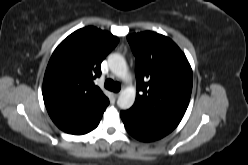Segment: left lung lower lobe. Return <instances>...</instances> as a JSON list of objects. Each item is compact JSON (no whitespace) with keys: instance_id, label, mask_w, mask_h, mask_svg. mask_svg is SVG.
<instances>
[{"instance_id":"left-lung-lower-lobe-1","label":"left lung lower lobe","mask_w":248,"mask_h":165,"mask_svg":"<svg viewBox=\"0 0 248 165\" xmlns=\"http://www.w3.org/2000/svg\"><path fill=\"white\" fill-rule=\"evenodd\" d=\"M120 116L127 132L141 141H154L174 130L173 127L167 124L142 117L130 110L121 111Z\"/></svg>"}]
</instances>
